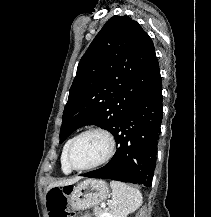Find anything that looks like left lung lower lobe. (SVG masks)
Returning a JSON list of instances; mask_svg holds the SVG:
<instances>
[{
  "mask_svg": "<svg viewBox=\"0 0 211 217\" xmlns=\"http://www.w3.org/2000/svg\"><path fill=\"white\" fill-rule=\"evenodd\" d=\"M162 117V80L159 75L115 127L112 134L117 150L111 161L81 176L150 187Z\"/></svg>",
  "mask_w": 211,
  "mask_h": 217,
  "instance_id": "1",
  "label": "left lung lower lobe"
}]
</instances>
